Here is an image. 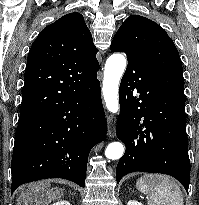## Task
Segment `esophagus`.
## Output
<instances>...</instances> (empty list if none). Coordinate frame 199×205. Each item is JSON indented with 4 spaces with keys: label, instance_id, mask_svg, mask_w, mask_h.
<instances>
[{
    "label": "esophagus",
    "instance_id": "34e87169",
    "mask_svg": "<svg viewBox=\"0 0 199 205\" xmlns=\"http://www.w3.org/2000/svg\"><path fill=\"white\" fill-rule=\"evenodd\" d=\"M115 125H116L115 118L113 116H109L107 118V130H108L109 137L115 136Z\"/></svg>",
    "mask_w": 199,
    "mask_h": 205
}]
</instances>
